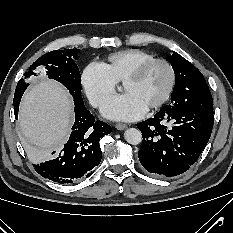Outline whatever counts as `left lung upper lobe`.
<instances>
[{
	"label": "left lung upper lobe",
	"instance_id": "1",
	"mask_svg": "<svg viewBox=\"0 0 233 233\" xmlns=\"http://www.w3.org/2000/svg\"><path fill=\"white\" fill-rule=\"evenodd\" d=\"M170 62L175 73V87L169 105L213 114V99L202 73L176 52Z\"/></svg>",
	"mask_w": 233,
	"mask_h": 233
}]
</instances>
